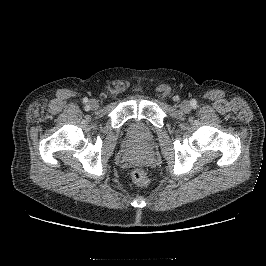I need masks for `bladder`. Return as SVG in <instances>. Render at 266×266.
I'll return each mask as SVG.
<instances>
[{
	"instance_id": "bladder-1",
	"label": "bladder",
	"mask_w": 266,
	"mask_h": 266,
	"mask_svg": "<svg viewBox=\"0 0 266 266\" xmlns=\"http://www.w3.org/2000/svg\"><path fill=\"white\" fill-rule=\"evenodd\" d=\"M127 135L129 139L135 143L147 145L154 139L152 129L144 122H132L127 127Z\"/></svg>"
}]
</instances>
